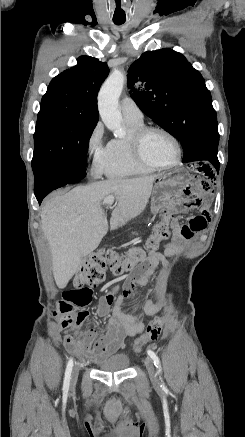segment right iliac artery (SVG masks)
Returning <instances> with one entry per match:
<instances>
[{"label":"right iliac artery","mask_w":245,"mask_h":437,"mask_svg":"<svg viewBox=\"0 0 245 437\" xmlns=\"http://www.w3.org/2000/svg\"><path fill=\"white\" fill-rule=\"evenodd\" d=\"M72 368H73V359L70 358L68 363H67L65 377H64V383H63V391L65 393H67L69 390Z\"/></svg>","instance_id":"1"}]
</instances>
